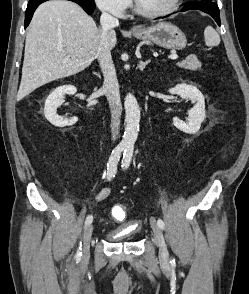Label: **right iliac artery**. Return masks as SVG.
<instances>
[{"label":"right iliac artery","instance_id":"82829eb1","mask_svg":"<svg viewBox=\"0 0 249 294\" xmlns=\"http://www.w3.org/2000/svg\"><path fill=\"white\" fill-rule=\"evenodd\" d=\"M126 146L119 144L118 146L115 147V149L112 151L109 161L107 163V179L111 180L113 177H115V174L117 172V165H118V161L120 159L121 154L125 151ZM93 221V216L92 215H88L86 220H85V226L91 224ZM82 242H80V246L76 252L75 255V259L77 261H79L81 259L82 256Z\"/></svg>","mask_w":249,"mask_h":294}]
</instances>
